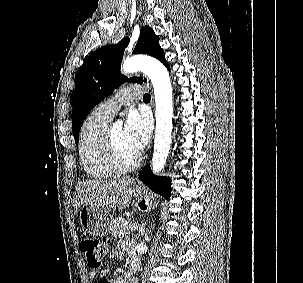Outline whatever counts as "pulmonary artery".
I'll list each match as a JSON object with an SVG mask.
<instances>
[{
  "instance_id": "obj_1",
  "label": "pulmonary artery",
  "mask_w": 303,
  "mask_h": 283,
  "mask_svg": "<svg viewBox=\"0 0 303 283\" xmlns=\"http://www.w3.org/2000/svg\"><path fill=\"white\" fill-rule=\"evenodd\" d=\"M142 91V87L137 85L123 87L113 98L104 102L98 108L103 114L112 118L123 103L139 100L143 95Z\"/></svg>"
}]
</instances>
